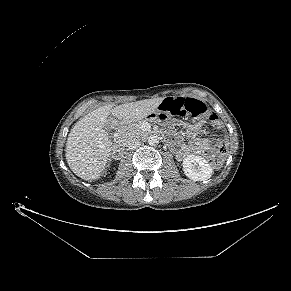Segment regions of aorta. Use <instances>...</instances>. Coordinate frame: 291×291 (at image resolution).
I'll list each match as a JSON object with an SVG mask.
<instances>
[{"instance_id": "762f6f07", "label": "aorta", "mask_w": 291, "mask_h": 291, "mask_svg": "<svg viewBox=\"0 0 291 291\" xmlns=\"http://www.w3.org/2000/svg\"><path fill=\"white\" fill-rule=\"evenodd\" d=\"M159 143V138L155 135H152L148 138V144L151 146H155Z\"/></svg>"}]
</instances>
